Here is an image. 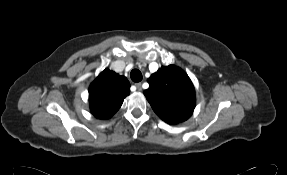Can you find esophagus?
I'll return each instance as SVG.
<instances>
[{
	"mask_svg": "<svg viewBox=\"0 0 287 175\" xmlns=\"http://www.w3.org/2000/svg\"><path fill=\"white\" fill-rule=\"evenodd\" d=\"M135 86L137 87V89H138L139 91L142 90V84H141V82L135 83Z\"/></svg>",
	"mask_w": 287,
	"mask_h": 175,
	"instance_id": "esophagus-1",
	"label": "esophagus"
}]
</instances>
